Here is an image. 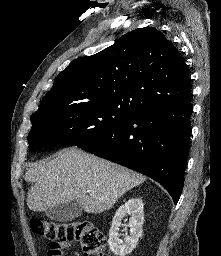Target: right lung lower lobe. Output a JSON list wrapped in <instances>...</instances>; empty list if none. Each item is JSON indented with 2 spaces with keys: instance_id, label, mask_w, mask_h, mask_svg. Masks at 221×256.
Returning a JSON list of instances; mask_svg holds the SVG:
<instances>
[{
  "instance_id": "obj_1",
  "label": "right lung lower lobe",
  "mask_w": 221,
  "mask_h": 256,
  "mask_svg": "<svg viewBox=\"0 0 221 256\" xmlns=\"http://www.w3.org/2000/svg\"><path fill=\"white\" fill-rule=\"evenodd\" d=\"M191 98L145 109L78 147L159 182L177 204L189 154Z\"/></svg>"
}]
</instances>
